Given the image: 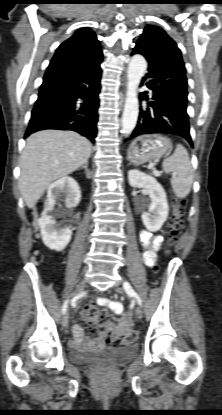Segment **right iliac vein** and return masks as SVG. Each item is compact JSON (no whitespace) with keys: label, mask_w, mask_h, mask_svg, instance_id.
<instances>
[{"label":"right iliac vein","mask_w":222,"mask_h":415,"mask_svg":"<svg viewBox=\"0 0 222 415\" xmlns=\"http://www.w3.org/2000/svg\"><path fill=\"white\" fill-rule=\"evenodd\" d=\"M87 286V282L86 280H81L79 282V284L77 285L76 289L74 290V292L71 295V298L74 299L77 295H79ZM68 312H65L63 318H62V325L64 327H66L68 325Z\"/></svg>","instance_id":"1"}]
</instances>
